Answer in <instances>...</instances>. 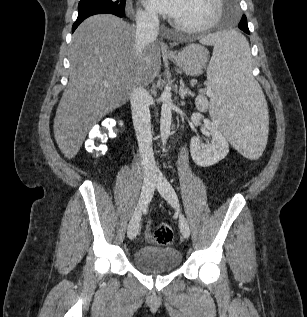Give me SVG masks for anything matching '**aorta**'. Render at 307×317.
<instances>
[{"label": "aorta", "instance_id": "aorta-1", "mask_svg": "<svg viewBox=\"0 0 307 317\" xmlns=\"http://www.w3.org/2000/svg\"><path fill=\"white\" fill-rule=\"evenodd\" d=\"M161 117H160V137L163 146L166 144V141L170 134L171 121H172V96L171 92L168 89H165L161 94Z\"/></svg>", "mask_w": 307, "mask_h": 317}]
</instances>
